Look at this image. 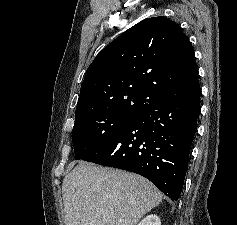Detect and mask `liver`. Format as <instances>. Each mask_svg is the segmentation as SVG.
<instances>
[{"label":"liver","mask_w":237,"mask_h":225,"mask_svg":"<svg viewBox=\"0 0 237 225\" xmlns=\"http://www.w3.org/2000/svg\"><path fill=\"white\" fill-rule=\"evenodd\" d=\"M62 197L66 225H136L162 201L142 176L82 161L63 179Z\"/></svg>","instance_id":"1"}]
</instances>
